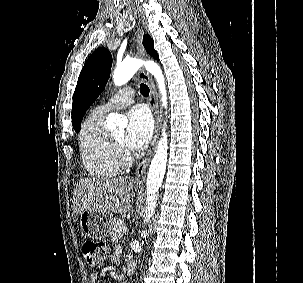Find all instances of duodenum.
<instances>
[{"label":"duodenum","instance_id":"obj_1","mask_svg":"<svg viewBox=\"0 0 303 283\" xmlns=\"http://www.w3.org/2000/svg\"><path fill=\"white\" fill-rule=\"evenodd\" d=\"M136 269V264L135 262L130 261L127 266H126V271L128 274H131L135 271Z\"/></svg>","mask_w":303,"mask_h":283}]
</instances>
